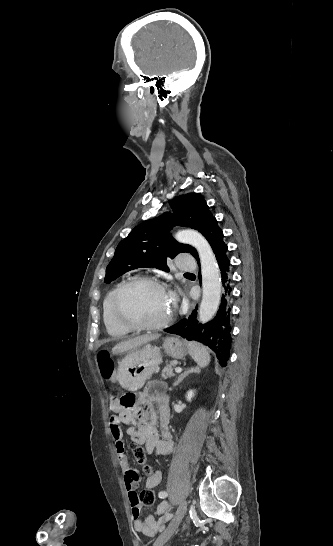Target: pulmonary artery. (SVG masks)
Wrapping results in <instances>:
<instances>
[{
	"label": "pulmonary artery",
	"instance_id": "e3ab8cb5",
	"mask_svg": "<svg viewBox=\"0 0 333 546\" xmlns=\"http://www.w3.org/2000/svg\"><path fill=\"white\" fill-rule=\"evenodd\" d=\"M177 266L184 271L192 270L194 269V260L191 256L182 254L177 259Z\"/></svg>",
	"mask_w": 333,
	"mask_h": 546
}]
</instances>
